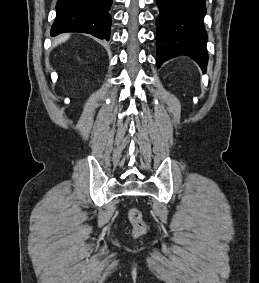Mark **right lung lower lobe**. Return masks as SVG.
<instances>
[{
    "instance_id": "obj_1",
    "label": "right lung lower lobe",
    "mask_w": 259,
    "mask_h": 283,
    "mask_svg": "<svg viewBox=\"0 0 259 283\" xmlns=\"http://www.w3.org/2000/svg\"><path fill=\"white\" fill-rule=\"evenodd\" d=\"M112 0H58L51 36L64 32H83L109 40Z\"/></svg>"
}]
</instances>
